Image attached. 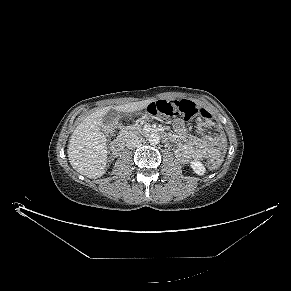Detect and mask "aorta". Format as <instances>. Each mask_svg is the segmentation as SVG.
<instances>
[{"label": "aorta", "mask_w": 291, "mask_h": 291, "mask_svg": "<svg viewBox=\"0 0 291 291\" xmlns=\"http://www.w3.org/2000/svg\"><path fill=\"white\" fill-rule=\"evenodd\" d=\"M149 142L152 145H157L160 142V137L158 134H151L149 136Z\"/></svg>", "instance_id": "obj_1"}]
</instances>
